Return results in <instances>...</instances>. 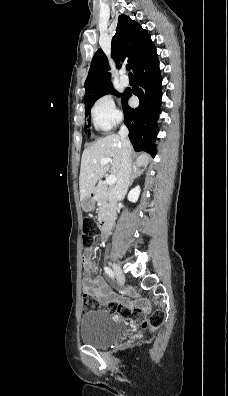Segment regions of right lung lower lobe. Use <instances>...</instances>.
<instances>
[{"label": "right lung lower lobe", "instance_id": "1", "mask_svg": "<svg viewBox=\"0 0 228 396\" xmlns=\"http://www.w3.org/2000/svg\"><path fill=\"white\" fill-rule=\"evenodd\" d=\"M136 85L121 98L124 122L129 129V139L135 151L156 155L155 138L158 134L157 120L160 114L162 78L155 46L142 63L133 71ZM131 95L139 98V106L131 108Z\"/></svg>", "mask_w": 228, "mask_h": 396}]
</instances>
